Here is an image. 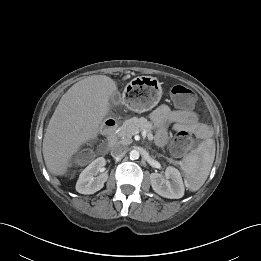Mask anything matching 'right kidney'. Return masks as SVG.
<instances>
[{
  "label": "right kidney",
  "instance_id": "obj_1",
  "mask_svg": "<svg viewBox=\"0 0 261 261\" xmlns=\"http://www.w3.org/2000/svg\"><path fill=\"white\" fill-rule=\"evenodd\" d=\"M105 159L99 157L90 163L80 174L76 183V191L81 194H94L103 188L108 179V174L104 172ZM100 173L98 176H96Z\"/></svg>",
  "mask_w": 261,
  "mask_h": 261
}]
</instances>
